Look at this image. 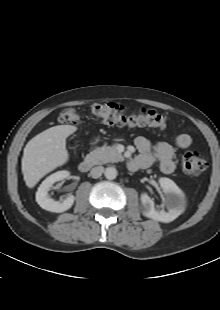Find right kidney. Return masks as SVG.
<instances>
[{"instance_id":"1","label":"right kidney","mask_w":220,"mask_h":310,"mask_svg":"<svg viewBox=\"0 0 220 310\" xmlns=\"http://www.w3.org/2000/svg\"><path fill=\"white\" fill-rule=\"evenodd\" d=\"M70 173L66 170L58 171L50 176H48L42 184L39 186L38 191L36 192V202L40 205L41 208L61 213L70 209L74 203L75 197L73 195H69L62 202L55 201L54 199L48 196V191L52 187V185L63 179L68 178Z\"/></svg>"}]
</instances>
